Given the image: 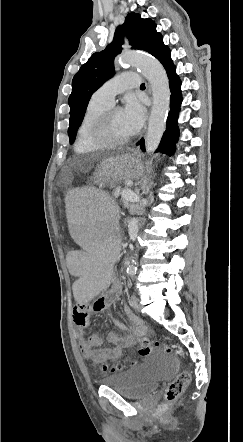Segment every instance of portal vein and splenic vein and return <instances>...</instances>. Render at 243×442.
<instances>
[{"label": "portal vein and splenic vein", "instance_id": "obj_1", "mask_svg": "<svg viewBox=\"0 0 243 442\" xmlns=\"http://www.w3.org/2000/svg\"><path fill=\"white\" fill-rule=\"evenodd\" d=\"M133 196H134V193L132 191L128 190V189H124L121 192V197L124 200H130Z\"/></svg>", "mask_w": 243, "mask_h": 442}]
</instances>
